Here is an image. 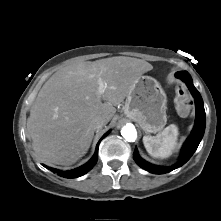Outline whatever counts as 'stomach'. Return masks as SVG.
Segmentation results:
<instances>
[{
	"label": "stomach",
	"mask_w": 221,
	"mask_h": 221,
	"mask_svg": "<svg viewBox=\"0 0 221 221\" xmlns=\"http://www.w3.org/2000/svg\"><path fill=\"white\" fill-rule=\"evenodd\" d=\"M166 109L167 98L160 83L150 76H141L126 98L124 113L150 134L166 125Z\"/></svg>",
	"instance_id": "stomach-1"
}]
</instances>
